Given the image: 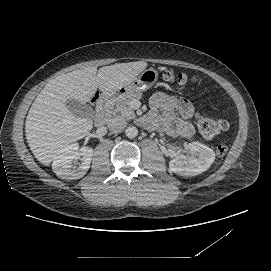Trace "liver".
<instances>
[{"label": "liver", "mask_w": 271, "mask_h": 271, "mask_svg": "<svg viewBox=\"0 0 271 271\" xmlns=\"http://www.w3.org/2000/svg\"><path fill=\"white\" fill-rule=\"evenodd\" d=\"M144 61L101 67H84L51 79L37 95L28 112L25 134L35 158L49 165L68 144L89 134L90 118L75 116L68 100L89 102L97 89L106 93L134 80L145 68Z\"/></svg>", "instance_id": "6515ba94"}]
</instances>
